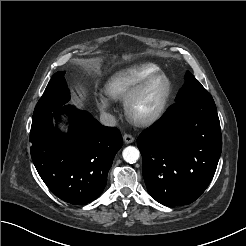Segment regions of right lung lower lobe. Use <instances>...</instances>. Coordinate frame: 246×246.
<instances>
[{
	"instance_id": "1",
	"label": "right lung lower lobe",
	"mask_w": 246,
	"mask_h": 246,
	"mask_svg": "<svg viewBox=\"0 0 246 246\" xmlns=\"http://www.w3.org/2000/svg\"><path fill=\"white\" fill-rule=\"evenodd\" d=\"M62 113H72L67 135L53 125ZM30 142L33 163L47 187L61 200L81 205L103 192L122 137L117 128L65 105L33 115Z\"/></svg>"
}]
</instances>
